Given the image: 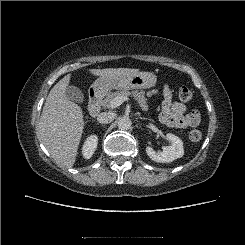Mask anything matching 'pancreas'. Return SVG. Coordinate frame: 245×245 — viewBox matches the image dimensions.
Wrapping results in <instances>:
<instances>
[{
  "mask_svg": "<svg viewBox=\"0 0 245 245\" xmlns=\"http://www.w3.org/2000/svg\"><path fill=\"white\" fill-rule=\"evenodd\" d=\"M118 96H124V97L132 96L139 104L146 103L147 101V99L145 98L144 91L135 90L130 92L124 89V90L108 93L107 96L101 101L102 106L106 108H111L110 103L112 99Z\"/></svg>",
  "mask_w": 245,
  "mask_h": 245,
  "instance_id": "cf45deb5",
  "label": "pancreas"
}]
</instances>
